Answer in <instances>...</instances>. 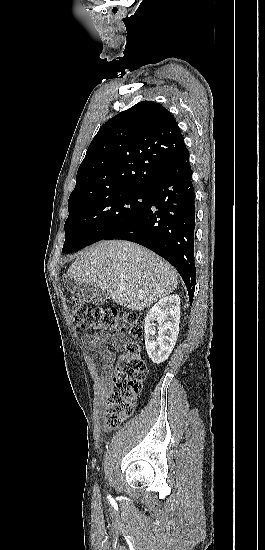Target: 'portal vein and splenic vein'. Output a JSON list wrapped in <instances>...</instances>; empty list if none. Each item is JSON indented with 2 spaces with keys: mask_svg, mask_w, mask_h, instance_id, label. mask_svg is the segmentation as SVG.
Returning a JSON list of instances; mask_svg holds the SVG:
<instances>
[{
  "mask_svg": "<svg viewBox=\"0 0 265 550\" xmlns=\"http://www.w3.org/2000/svg\"><path fill=\"white\" fill-rule=\"evenodd\" d=\"M119 288L123 290V289H125V286L124 285H119Z\"/></svg>",
  "mask_w": 265,
  "mask_h": 550,
  "instance_id": "portal-vein-and-splenic-vein-1",
  "label": "portal vein and splenic vein"
}]
</instances>
